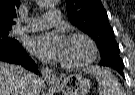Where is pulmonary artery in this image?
Returning a JSON list of instances; mask_svg holds the SVG:
<instances>
[{"label": "pulmonary artery", "instance_id": "pulmonary-artery-1", "mask_svg": "<svg viewBox=\"0 0 135 95\" xmlns=\"http://www.w3.org/2000/svg\"><path fill=\"white\" fill-rule=\"evenodd\" d=\"M61 21L62 17L60 12L56 9H53L41 16L29 19L27 23L24 26L19 27L17 31L22 32L38 31L55 24H59Z\"/></svg>", "mask_w": 135, "mask_h": 95}]
</instances>
